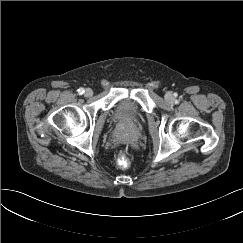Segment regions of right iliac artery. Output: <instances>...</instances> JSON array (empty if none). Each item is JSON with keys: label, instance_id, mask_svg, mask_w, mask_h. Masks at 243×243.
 Segmentation results:
<instances>
[{"label": "right iliac artery", "instance_id": "right-iliac-artery-1", "mask_svg": "<svg viewBox=\"0 0 243 243\" xmlns=\"http://www.w3.org/2000/svg\"><path fill=\"white\" fill-rule=\"evenodd\" d=\"M78 93H79V94H83V93H84V89H83V88H79V89H78Z\"/></svg>", "mask_w": 243, "mask_h": 243}]
</instances>
